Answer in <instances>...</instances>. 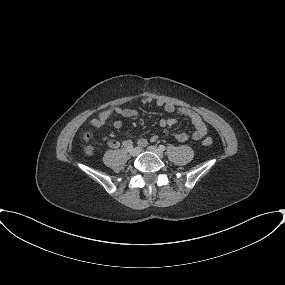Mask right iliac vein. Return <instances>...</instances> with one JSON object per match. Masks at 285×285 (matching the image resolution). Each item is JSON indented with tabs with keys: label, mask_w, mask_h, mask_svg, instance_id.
<instances>
[{
	"label": "right iliac vein",
	"mask_w": 285,
	"mask_h": 285,
	"mask_svg": "<svg viewBox=\"0 0 285 285\" xmlns=\"http://www.w3.org/2000/svg\"><path fill=\"white\" fill-rule=\"evenodd\" d=\"M139 153H140V149H139V148H134V149H132V150L130 151V155H131L132 157L138 156Z\"/></svg>",
	"instance_id": "right-iliac-vein-1"
}]
</instances>
